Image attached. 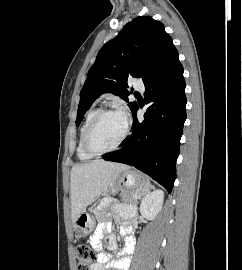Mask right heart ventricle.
I'll list each match as a JSON object with an SVG mask.
<instances>
[{"label":"right heart ventricle","mask_w":242,"mask_h":270,"mask_svg":"<svg viewBox=\"0 0 242 270\" xmlns=\"http://www.w3.org/2000/svg\"><path fill=\"white\" fill-rule=\"evenodd\" d=\"M98 111H99V110L96 109V108L91 109V110L87 113V115H86V117H85V119H84V121H83V123H82V125H81V127H80L79 138H78V144H77V155H78V157H79L81 160H89V159H91V158L93 157V156L87 154V153L83 150V147H82V139H83V135H84V132H85V130H86L88 124H89L90 121L93 119V117L97 114Z\"/></svg>","instance_id":"right-heart-ventricle-1"}]
</instances>
